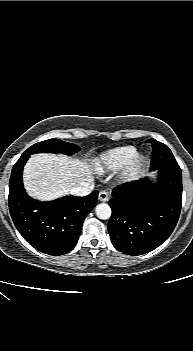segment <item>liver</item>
Segmentation results:
<instances>
[{"mask_svg":"<svg viewBox=\"0 0 193 351\" xmlns=\"http://www.w3.org/2000/svg\"><path fill=\"white\" fill-rule=\"evenodd\" d=\"M94 169L86 160L65 155L35 154L23 171L26 191L41 201H51L70 193L72 188L93 183Z\"/></svg>","mask_w":193,"mask_h":351,"instance_id":"1","label":"liver"}]
</instances>
